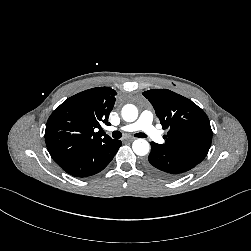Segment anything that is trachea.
<instances>
[{"label": "trachea", "instance_id": "trachea-1", "mask_svg": "<svg viewBox=\"0 0 251 251\" xmlns=\"http://www.w3.org/2000/svg\"><path fill=\"white\" fill-rule=\"evenodd\" d=\"M134 136L139 137V138H146L147 137L144 133H136ZM112 137L115 139H119L122 137V133L120 131H114L112 133Z\"/></svg>", "mask_w": 251, "mask_h": 251}]
</instances>
